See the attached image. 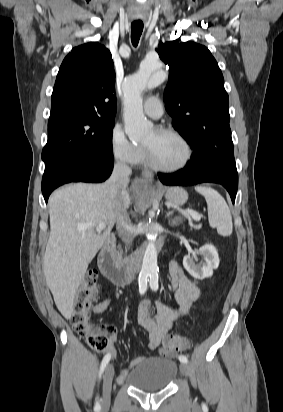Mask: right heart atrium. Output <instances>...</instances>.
<instances>
[{"label": "right heart atrium", "instance_id": "obj_1", "mask_svg": "<svg viewBox=\"0 0 283 412\" xmlns=\"http://www.w3.org/2000/svg\"><path fill=\"white\" fill-rule=\"evenodd\" d=\"M109 146L114 159L123 164L132 165L137 163L141 154V147L127 138L120 125H115L112 128Z\"/></svg>", "mask_w": 283, "mask_h": 412}]
</instances>
